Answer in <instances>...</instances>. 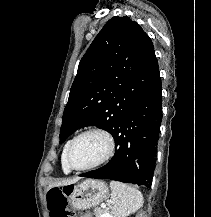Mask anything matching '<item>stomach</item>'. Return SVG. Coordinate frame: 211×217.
Segmentation results:
<instances>
[{
  "label": "stomach",
  "instance_id": "1",
  "mask_svg": "<svg viewBox=\"0 0 211 217\" xmlns=\"http://www.w3.org/2000/svg\"><path fill=\"white\" fill-rule=\"evenodd\" d=\"M67 189L71 192L69 202L76 210H84L98 205L109 193L107 184L103 180L97 179H88Z\"/></svg>",
  "mask_w": 211,
  "mask_h": 217
}]
</instances>
